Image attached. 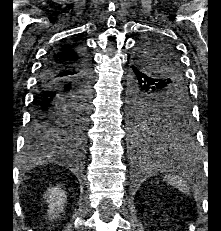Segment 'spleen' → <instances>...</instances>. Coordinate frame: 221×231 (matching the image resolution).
I'll list each match as a JSON object with an SVG mask.
<instances>
[{"label": "spleen", "instance_id": "obj_1", "mask_svg": "<svg viewBox=\"0 0 221 231\" xmlns=\"http://www.w3.org/2000/svg\"><path fill=\"white\" fill-rule=\"evenodd\" d=\"M165 180L167 181L168 184L179 189L181 192L185 194H189V187L187 185V181L183 180L181 177L177 175H168L165 176Z\"/></svg>", "mask_w": 221, "mask_h": 231}]
</instances>
